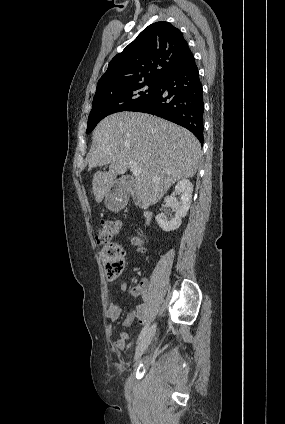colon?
Masks as SVG:
<instances>
[{
	"label": "colon",
	"instance_id": "5ec220e1",
	"mask_svg": "<svg viewBox=\"0 0 285 424\" xmlns=\"http://www.w3.org/2000/svg\"><path fill=\"white\" fill-rule=\"evenodd\" d=\"M122 225L119 221H107L96 225L94 228L95 240L102 246L103 268L107 278L114 279L118 277L125 264V252L123 248L114 242V238L121 232ZM132 243L143 249L145 239L141 233L132 237Z\"/></svg>",
	"mask_w": 285,
	"mask_h": 424
}]
</instances>
